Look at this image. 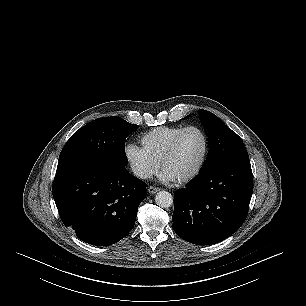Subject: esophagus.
<instances>
[{"label":"esophagus","instance_id":"obj_1","mask_svg":"<svg viewBox=\"0 0 306 306\" xmlns=\"http://www.w3.org/2000/svg\"><path fill=\"white\" fill-rule=\"evenodd\" d=\"M160 190H161V189L158 188V187H154V186L148 187V192H149L150 194H155V193H157V192L160 191Z\"/></svg>","mask_w":306,"mask_h":306}]
</instances>
